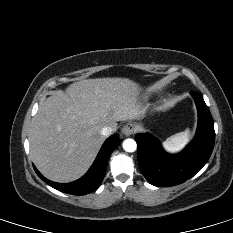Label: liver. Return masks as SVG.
<instances>
[{"label":"liver","mask_w":233,"mask_h":233,"mask_svg":"<svg viewBox=\"0 0 233 233\" xmlns=\"http://www.w3.org/2000/svg\"><path fill=\"white\" fill-rule=\"evenodd\" d=\"M140 87L128 78H96L55 92L39 107L30 132V156L48 179L67 183L84 175L105 137L101 129L139 119Z\"/></svg>","instance_id":"6515ba94"}]
</instances>
